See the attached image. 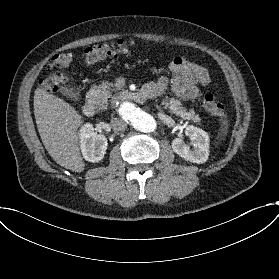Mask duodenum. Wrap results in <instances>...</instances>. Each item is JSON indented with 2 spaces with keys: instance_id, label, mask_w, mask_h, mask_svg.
I'll use <instances>...</instances> for the list:
<instances>
[{
  "instance_id": "1",
  "label": "duodenum",
  "mask_w": 279,
  "mask_h": 279,
  "mask_svg": "<svg viewBox=\"0 0 279 279\" xmlns=\"http://www.w3.org/2000/svg\"><path fill=\"white\" fill-rule=\"evenodd\" d=\"M119 94L122 99L132 102L141 103L148 98V93L144 90L131 91L128 89H121ZM97 102L94 99H88L83 106V113L87 117H91L96 113Z\"/></svg>"
}]
</instances>
